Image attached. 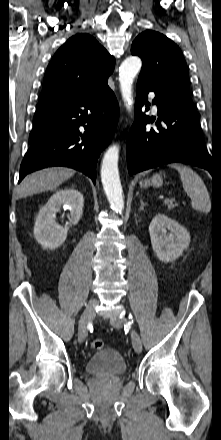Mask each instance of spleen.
I'll return each mask as SVG.
<instances>
[{
    "instance_id": "3e777b00",
    "label": "spleen",
    "mask_w": 221,
    "mask_h": 440,
    "mask_svg": "<svg viewBox=\"0 0 221 440\" xmlns=\"http://www.w3.org/2000/svg\"><path fill=\"white\" fill-rule=\"evenodd\" d=\"M170 167L179 172L183 189L191 199L192 208L202 213H209L211 210L210 196L201 177L185 165L172 164Z\"/></svg>"
}]
</instances>
